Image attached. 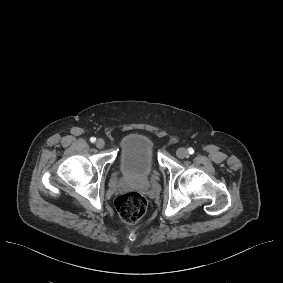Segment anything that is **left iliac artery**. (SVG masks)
Segmentation results:
<instances>
[{
  "label": "left iliac artery",
  "instance_id": "left-iliac-artery-1",
  "mask_svg": "<svg viewBox=\"0 0 283 283\" xmlns=\"http://www.w3.org/2000/svg\"><path fill=\"white\" fill-rule=\"evenodd\" d=\"M188 152H189V154L192 155V154L194 153V149L190 147V148L188 149Z\"/></svg>",
  "mask_w": 283,
  "mask_h": 283
}]
</instances>
